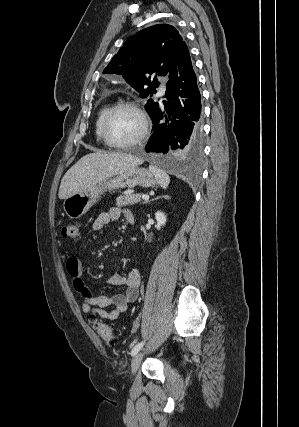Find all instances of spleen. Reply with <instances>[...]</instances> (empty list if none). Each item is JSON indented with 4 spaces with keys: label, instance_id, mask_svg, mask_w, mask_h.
<instances>
[{
    "label": "spleen",
    "instance_id": "obj_1",
    "mask_svg": "<svg viewBox=\"0 0 299 427\" xmlns=\"http://www.w3.org/2000/svg\"><path fill=\"white\" fill-rule=\"evenodd\" d=\"M149 170L153 173L160 186L166 189L170 183L169 175L164 170L154 165H150Z\"/></svg>",
    "mask_w": 299,
    "mask_h": 427
}]
</instances>
